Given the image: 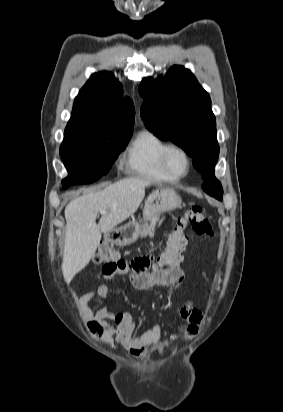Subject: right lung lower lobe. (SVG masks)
<instances>
[{"mask_svg":"<svg viewBox=\"0 0 283 412\" xmlns=\"http://www.w3.org/2000/svg\"><path fill=\"white\" fill-rule=\"evenodd\" d=\"M66 186L64 187V188H67V186H69V185H73V184H65Z\"/></svg>","mask_w":283,"mask_h":412,"instance_id":"right-lung-lower-lobe-1","label":"right lung lower lobe"}]
</instances>
